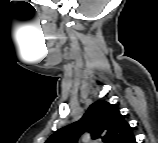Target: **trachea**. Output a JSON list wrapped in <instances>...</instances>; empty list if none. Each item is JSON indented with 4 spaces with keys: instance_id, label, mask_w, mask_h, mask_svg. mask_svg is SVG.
<instances>
[{
    "instance_id": "trachea-1",
    "label": "trachea",
    "mask_w": 158,
    "mask_h": 143,
    "mask_svg": "<svg viewBox=\"0 0 158 143\" xmlns=\"http://www.w3.org/2000/svg\"><path fill=\"white\" fill-rule=\"evenodd\" d=\"M107 140H108L107 138H104V139H103V141H107Z\"/></svg>"
}]
</instances>
